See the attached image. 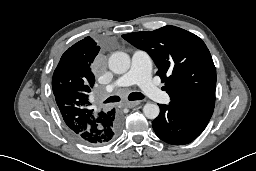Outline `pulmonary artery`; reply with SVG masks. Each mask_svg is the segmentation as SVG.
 Listing matches in <instances>:
<instances>
[{"label": "pulmonary artery", "instance_id": "e3ab8cb5", "mask_svg": "<svg viewBox=\"0 0 256 171\" xmlns=\"http://www.w3.org/2000/svg\"><path fill=\"white\" fill-rule=\"evenodd\" d=\"M151 67V58L146 51H134L129 71L119 77L113 84L109 85L107 88L108 91L136 84L152 100L167 102V94L160 90L151 80Z\"/></svg>", "mask_w": 256, "mask_h": 171}]
</instances>
